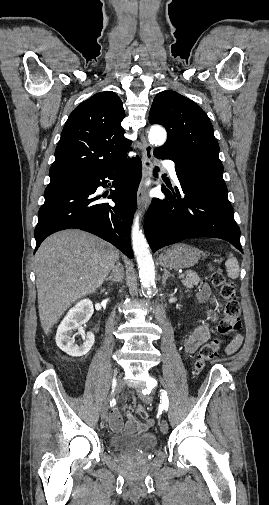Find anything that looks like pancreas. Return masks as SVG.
Here are the masks:
<instances>
[{"instance_id":"pancreas-1","label":"pancreas","mask_w":269,"mask_h":505,"mask_svg":"<svg viewBox=\"0 0 269 505\" xmlns=\"http://www.w3.org/2000/svg\"><path fill=\"white\" fill-rule=\"evenodd\" d=\"M185 274L186 277L185 279L182 280V283L187 288H192L193 286H196L200 282V277L197 275V273L187 271Z\"/></svg>"}]
</instances>
